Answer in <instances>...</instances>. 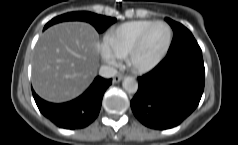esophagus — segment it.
Returning a JSON list of instances; mask_svg holds the SVG:
<instances>
[{"mask_svg":"<svg viewBox=\"0 0 238 145\" xmlns=\"http://www.w3.org/2000/svg\"><path fill=\"white\" fill-rule=\"evenodd\" d=\"M123 78H124V76H123L122 74L115 75V76L113 77V83H118V82H120Z\"/></svg>","mask_w":238,"mask_h":145,"instance_id":"1","label":"esophagus"}]
</instances>
